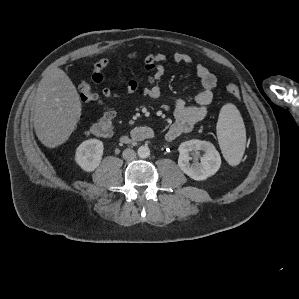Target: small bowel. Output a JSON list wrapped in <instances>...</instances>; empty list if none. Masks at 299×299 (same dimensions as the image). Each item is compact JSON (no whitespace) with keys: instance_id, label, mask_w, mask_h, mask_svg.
<instances>
[{"instance_id":"c3829d8e","label":"small bowel","mask_w":299,"mask_h":299,"mask_svg":"<svg viewBox=\"0 0 299 299\" xmlns=\"http://www.w3.org/2000/svg\"><path fill=\"white\" fill-rule=\"evenodd\" d=\"M136 51L120 56L128 60L137 58ZM166 56L163 53H149L144 58V64L150 75L148 78L149 86L142 90V94L148 100H156L161 95L160 82L165 74L164 63ZM175 63L189 64L192 58L189 54L176 52L172 57ZM110 61L107 58L98 60L93 69L92 80L98 88L104 81L103 71L109 66ZM196 74L200 81L201 91L189 100L182 98H175L172 100V110L175 121L165 132L164 138L167 141H172L182 134L192 131L194 126L204 120L208 115V106L214 100V89L217 86L216 76L204 65L198 64L196 66ZM138 82L134 79H129L125 83V92L132 94L138 90ZM101 93L106 98H116L120 94L113 91L108 86L101 88Z\"/></svg>"}]
</instances>
